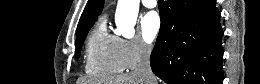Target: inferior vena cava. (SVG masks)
<instances>
[{"instance_id": "obj_1", "label": "inferior vena cava", "mask_w": 260, "mask_h": 84, "mask_svg": "<svg viewBox=\"0 0 260 84\" xmlns=\"http://www.w3.org/2000/svg\"><path fill=\"white\" fill-rule=\"evenodd\" d=\"M150 54V49L141 47L139 63L134 73L141 77L145 84H157L150 66Z\"/></svg>"}]
</instances>
